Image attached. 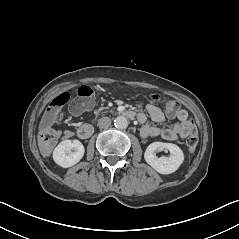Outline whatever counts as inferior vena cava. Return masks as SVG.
<instances>
[{
    "label": "inferior vena cava",
    "mask_w": 239,
    "mask_h": 239,
    "mask_svg": "<svg viewBox=\"0 0 239 239\" xmlns=\"http://www.w3.org/2000/svg\"><path fill=\"white\" fill-rule=\"evenodd\" d=\"M111 125V119L109 117H102L98 120V126L100 128H108Z\"/></svg>",
    "instance_id": "obj_1"
}]
</instances>
